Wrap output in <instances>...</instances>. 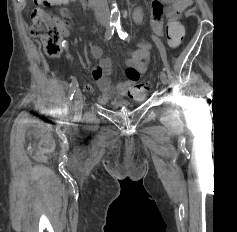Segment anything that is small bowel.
<instances>
[{
    "label": "small bowel",
    "instance_id": "c3829d8e",
    "mask_svg": "<svg viewBox=\"0 0 237 232\" xmlns=\"http://www.w3.org/2000/svg\"><path fill=\"white\" fill-rule=\"evenodd\" d=\"M65 1V4H68L76 0ZM190 3L191 0H151L152 32L159 37L163 36L164 16L168 20H177ZM164 5L167 6L165 7ZM65 12V8L60 9L62 15H65ZM135 19L139 22L138 14H136ZM57 24L62 32L67 35L69 32L68 24L60 19H57ZM64 49L67 57H69L67 45L64 46ZM90 52L95 59L99 60V65L93 69L92 74L101 91L98 97V101L101 104H106L110 100L120 102L127 96L137 101H142L146 98L149 88L140 83V78L147 71L150 61L151 53L148 41H140L137 50L127 52V59L125 60L126 79L117 84L112 83L110 80L112 62L108 57H103L102 49L96 44H91ZM88 89L91 90L90 87Z\"/></svg>",
    "mask_w": 237,
    "mask_h": 232
}]
</instances>
